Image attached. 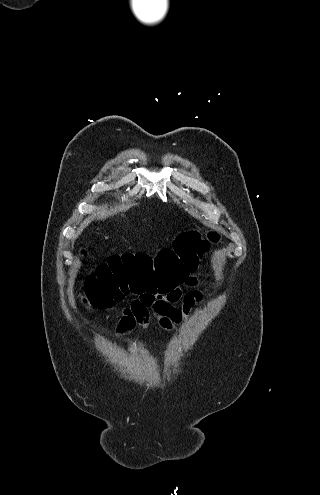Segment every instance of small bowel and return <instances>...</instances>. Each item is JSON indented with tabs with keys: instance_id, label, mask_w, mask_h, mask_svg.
<instances>
[{
	"instance_id": "small-bowel-1",
	"label": "small bowel",
	"mask_w": 320,
	"mask_h": 495,
	"mask_svg": "<svg viewBox=\"0 0 320 495\" xmlns=\"http://www.w3.org/2000/svg\"><path fill=\"white\" fill-rule=\"evenodd\" d=\"M181 284L193 287V289L183 294ZM197 284V277L187 272L179 284L166 292L139 294L128 307L123 309L117 331L126 333L136 325L146 329L151 318L156 319L163 329L171 330L174 326L184 322L192 308L202 302L203 294L195 288ZM179 301H181V306L176 307L175 304Z\"/></svg>"
}]
</instances>
